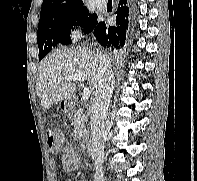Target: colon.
<instances>
[{
    "mask_svg": "<svg viewBox=\"0 0 197 181\" xmlns=\"http://www.w3.org/2000/svg\"><path fill=\"white\" fill-rule=\"evenodd\" d=\"M46 141L49 146V148L52 151H58L61 143H62V137L57 131V129L53 126H49L46 128Z\"/></svg>",
    "mask_w": 197,
    "mask_h": 181,
    "instance_id": "1",
    "label": "colon"
}]
</instances>
